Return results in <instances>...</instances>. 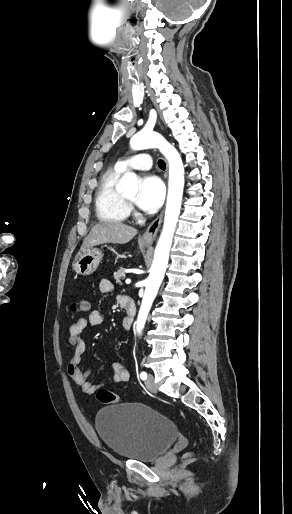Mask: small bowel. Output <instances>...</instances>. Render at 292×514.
<instances>
[{
	"mask_svg": "<svg viewBox=\"0 0 292 514\" xmlns=\"http://www.w3.org/2000/svg\"><path fill=\"white\" fill-rule=\"evenodd\" d=\"M99 291L102 294H109L114 287L110 280L102 279L98 284ZM104 314L96 309L93 310L88 317L80 318L77 322L69 327L66 345L74 348V355L68 360L67 373L74 383L79 386L85 393L94 394L100 389H104L106 384H93L88 380L90 370L82 371L80 369L81 356L86 350V344L82 339V333L88 327H99L104 323ZM124 323V321H123ZM130 379V372L127 367L117 362L113 365L112 383H125Z\"/></svg>",
	"mask_w": 292,
	"mask_h": 514,
	"instance_id": "obj_1",
	"label": "small bowel"
}]
</instances>
